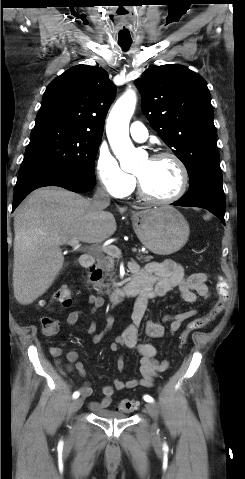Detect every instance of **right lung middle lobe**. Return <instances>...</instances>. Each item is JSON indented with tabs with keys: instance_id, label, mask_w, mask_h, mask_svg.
<instances>
[{
	"instance_id": "obj_1",
	"label": "right lung middle lobe",
	"mask_w": 245,
	"mask_h": 479,
	"mask_svg": "<svg viewBox=\"0 0 245 479\" xmlns=\"http://www.w3.org/2000/svg\"><path fill=\"white\" fill-rule=\"evenodd\" d=\"M101 137L61 127L33 128L19 175L56 168L96 180L94 163Z\"/></svg>"
}]
</instances>
